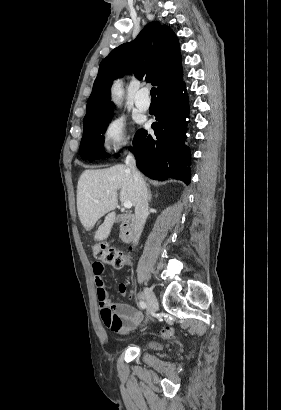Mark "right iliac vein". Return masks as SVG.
Here are the masks:
<instances>
[{
  "label": "right iliac vein",
  "instance_id": "right-iliac-vein-1",
  "mask_svg": "<svg viewBox=\"0 0 281 410\" xmlns=\"http://www.w3.org/2000/svg\"><path fill=\"white\" fill-rule=\"evenodd\" d=\"M144 297L148 305V317L147 319L150 318V316L155 312L156 308L158 307V301L156 299L155 294L150 288H145L144 289Z\"/></svg>",
  "mask_w": 281,
  "mask_h": 410
}]
</instances>
